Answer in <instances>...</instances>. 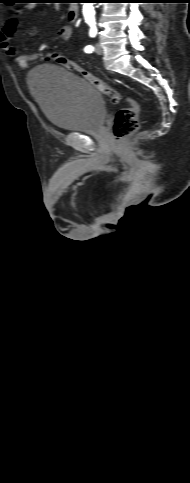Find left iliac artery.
<instances>
[{
    "mask_svg": "<svg viewBox=\"0 0 190 483\" xmlns=\"http://www.w3.org/2000/svg\"><path fill=\"white\" fill-rule=\"evenodd\" d=\"M90 26H91V29H90V36L91 37H94L96 35V28H95V25L94 23H90ZM84 51L86 53H92L94 51V47L92 45H87L85 48H84Z\"/></svg>",
    "mask_w": 190,
    "mask_h": 483,
    "instance_id": "1",
    "label": "left iliac artery"
}]
</instances>
